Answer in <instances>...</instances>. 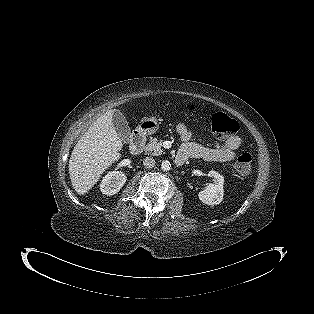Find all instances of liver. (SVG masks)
Instances as JSON below:
<instances>
[{"instance_id":"6515ba94","label":"liver","mask_w":314,"mask_h":314,"mask_svg":"<svg viewBox=\"0 0 314 314\" xmlns=\"http://www.w3.org/2000/svg\"><path fill=\"white\" fill-rule=\"evenodd\" d=\"M108 110L98 117L75 145L69 160V175L74 190L86 194L114 162L121 158L123 144Z\"/></svg>"}]
</instances>
